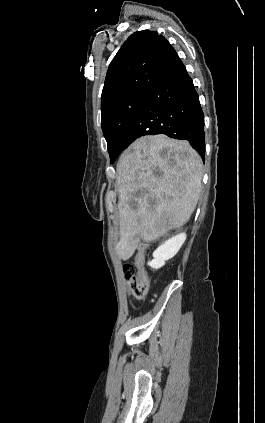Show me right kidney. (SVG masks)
<instances>
[{"instance_id":"right-kidney-1","label":"right kidney","mask_w":265,"mask_h":423,"mask_svg":"<svg viewBox=\"0 0 265 423\" xmlns=\"http://www.w3.org/2000/svg\"><path fill=\"white\" fill-rule=\"evenodd\" d=\"M186 240V234L180 233L159 246L153 253L154 259L148 262L153 269H159L165 262L173 258Z\"/></svg>"}]
</instances>
